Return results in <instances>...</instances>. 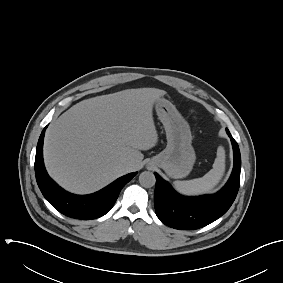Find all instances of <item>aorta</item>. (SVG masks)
Instances as JSON below:
<instances>
[{
  "label": "aorta",
  "mask_w": 283,
  "mask_h": 283,
  "mask_svg": "<svg viewBox=\"0 0 283 283\" xmlns=\"http://www.w3.org/2000/svg\"><path fill=\"white\" fill-rule=\"evenodd\" d=\"M139 182L141 186L145 188H151L156 183L155 175L152 172L144 171L139 176Z\"/></svg>",
  "instance_id": "aorta-1"
}]
</instances>
